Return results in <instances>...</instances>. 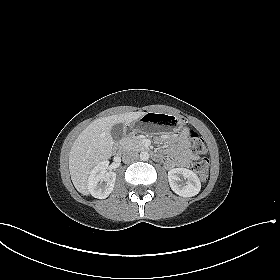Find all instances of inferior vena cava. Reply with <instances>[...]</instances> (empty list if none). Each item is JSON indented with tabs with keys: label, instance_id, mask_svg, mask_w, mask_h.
Segmentation results:
<instances>
[{
	"label": "inferior vena cava",
	"instance_id": "inferior-vena-cava-1",
	"mask_svg": "<svg viewBox=\"0 0 280 280\" xmlns=\"http://www.w3.org/2000/svg\"><path fill=\"white\" fill-rule=\"evenodd\" d=\"M139 155L135 151H127L123 154V162L125 163H131L138 159Z\"/></svg>",
	"mask_w": 280,
	"mask_h": 280
}]
</instances>
